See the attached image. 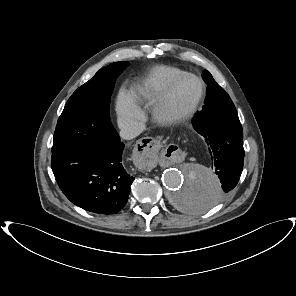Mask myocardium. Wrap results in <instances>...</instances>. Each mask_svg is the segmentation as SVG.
I'll return each instance as SVG.
<instances>
[{
	"mask_svg": "<svg viewBox=\"0 0 296 296\" xmlns=\"http://www.w3.org/2000/svg\"><path fill=\"white\" fill-rule=\"evenodd\" d=\"M186 78L196 80L199 85V94L195 101L182 111H174L171 107V96L176 86ZM205 96L203 81L192 73H184L173 79L163 90L154 105V116L157 121L164 125H178L189 120L198 110Z\"/></svg>",
	"mask_w": 296,
	"mask_h": 296,
	"instance_id": "obj_1",
	"label": "myocardium"
}]
</instances>
